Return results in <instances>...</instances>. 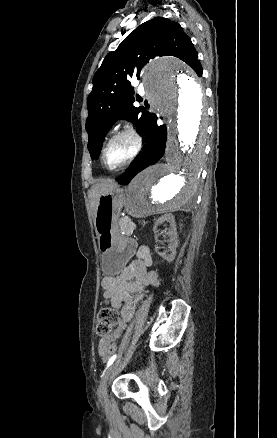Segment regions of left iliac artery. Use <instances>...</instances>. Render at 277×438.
I'll list each match as a JSON object with an SVG mask.
<instances>
[{
    "label": "left iliac artery",
    "mask_w": 277,
    "mask_h": 438,
    "mask_svg": "<svg viewBox=\"0 0 277 438\" xmlns=\"http://www.w3.org/2000/svg\"><path fill=\"white\" fill-rule=\"evenodd\" d=\"M117 358V354H114L108 361L106 368H108Z\"/></svg>",
    "instance_id": "1"
}]
</instances>
